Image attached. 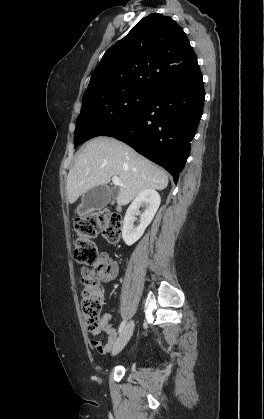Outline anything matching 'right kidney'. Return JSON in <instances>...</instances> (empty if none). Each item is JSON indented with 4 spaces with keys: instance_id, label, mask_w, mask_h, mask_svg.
Instances as JSON below:
<instances>
[{
    "instance_id": "1",
    "label": "right kidney",
    "mask_w": 264,
    "mask_h": 419,
    "mask_svg": "<svg viewBox=\"0 0 264 419\" xmlns=\"http://www.w3.org/2000/svg\"><path fill=\"white\" fill-rule=\"evenodd\" d=\"M160 202V195L154 189H147L142 191L133 200L125 214L122 229V237L126 245L131 246L140 239L147 226L153 220L160 206ZM140 206H145L146 209L141 215L140 225L134 228V221L136 219L135 215L138 212Z\"/></svg>"
}]
</instances>
